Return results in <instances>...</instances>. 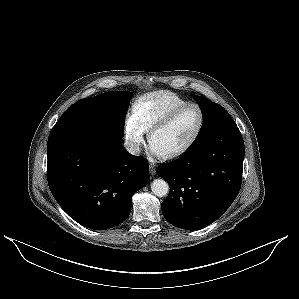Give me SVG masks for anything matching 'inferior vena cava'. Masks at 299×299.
<instances>
[{
	"label": "inferior vena cava",
	"mask_w": 299,
	"mask_h": 299,
	"mask_svg": "<svg viewBox=\"0 0 299 299\" xmlns=\"http://www.w3.org/2000/svg\"><path fill=\"white\" fill-rule=\"evenodd\" d=\"M139 145V143L133 141H125L124 143V147L126 148V150L133 155L140 154Z\"/></svg>",
	"instance_id": "1"
}]
</instances>
